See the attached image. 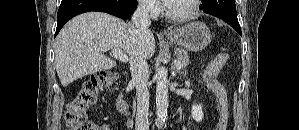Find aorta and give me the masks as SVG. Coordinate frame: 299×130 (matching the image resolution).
Here are the masks:
<instances>
[{
	"instance_id": "1",
	"label": "aorta",
	"mask_w": 299,
	"mask_h": 130,
	"mask_svg": "<svg viewBox=\"0 0 299 130\" xmlns=\"http://www.w3.org/2000/svg\"><path fill=\"white\" fill-rule=\"evenodd\" d=\"M156 80V112L158 127L161 128L166 120L168 109V78L165 67L157 69Z\"/></svg>"
}]
</instances>
